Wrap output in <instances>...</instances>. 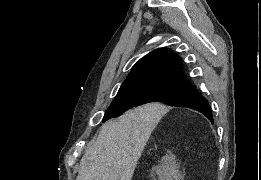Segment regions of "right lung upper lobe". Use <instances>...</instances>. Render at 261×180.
Returning <instances> with one entry per match:
<instances>
[{
    "mask_svg": "<svg viewBox=\"0 0 261 180\" xmlns=\"http://www.w3.org/2000/svg\"><path fill=\"white\" fill-rule=\"evenodd\" d=\"M166 81L188 80L182 70L181 58L169 48H159L133 66L120 89Z\"/></svg>",
    "mask_w": 261,
    "mask_h": 180,
    "instance_id": "1",
    "label": "right lung upper lobe"
}]
</instances>
